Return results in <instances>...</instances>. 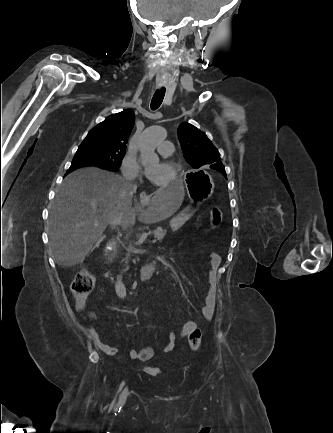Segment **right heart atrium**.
Segmentation results:
<instances>
[{"mask_svg":"<svg viewBox=\"0 0 333 433\" xmlns=\"http://www.w3.org/2000/svg\"><path fill=\"white\" fill-rule=\"evenodd\" d=\"M121 171L128 179H136L140 176V166L135 157L126 155L121 164Z\"/></svg>","mask_w":333,"mask_h":433,"instance_id":"1","label":"right heart atrium"}]
</instances>
